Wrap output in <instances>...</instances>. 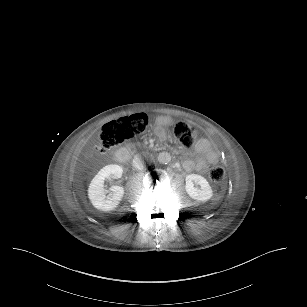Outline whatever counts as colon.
Here are the masks:
<instances>
[{"label": "colon", "instance_id": "1", "mask_svg": "<svg viewBox=\"0 0 307 307\" xmlns=\"http://www.w3.org/2000/svg\"><path fill=\"white\" fill-rule=\"evenodd\" d=\"M151 123V118L146 114H136L124 117L105 124L100 134V140L87 152V156L94 152L106 153L122 143L141 135ZM177 140L184 146L190 147L197 138V131L185 121H179L174 128ZM209 177L213 182H221L224 170L218 165L210 168Z\"/></svg>", "mask_w": 307, "mask_h": 307}]
</instances>
